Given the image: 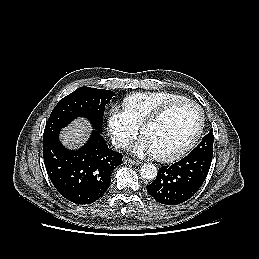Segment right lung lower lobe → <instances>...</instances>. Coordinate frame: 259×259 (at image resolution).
Returning a JSON list of instances; mask_svg holds the SVG:
<instances>
[{
    "label": "right lung lower lobe",
    "instance_id": "obj_1",
    "mask_svg": "<svg viewBox=\"0 0 259 259\" xmlns=\"http://www.w3.org/2000/svg\"><path fill=\"white\" fill-rule=\"evenodd\" d=\"M43 157L54 187L76 204L98 200L110 186L112 171L122 164L121 153L109 149L96 130L77 150L65 148L59 133L43 139Z\"/></svg>",
    "mask_w": 259,
    "mask_h": 259
}]
</instances>
